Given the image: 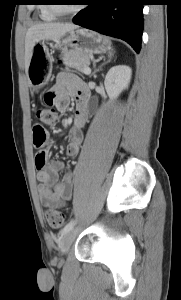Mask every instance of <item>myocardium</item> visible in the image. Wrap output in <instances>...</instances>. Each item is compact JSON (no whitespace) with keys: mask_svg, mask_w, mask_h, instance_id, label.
<instances>
[{"mask_svg":"<svg viewBox=\"0 0 181 300\" xmlns=\"http://www.w3.org/2000/svg\"><path fill=\"white\" fill-rule=\"evenodd\" d=\"M48 3L49 10L58 17L73 15L78 11L77 8L71 10H62L54 0H48Z\"/></svg>","mask_w":181,"mask_h":300,"instance_id":"myocardium-1","label":"myocardium"}]
</instances>
